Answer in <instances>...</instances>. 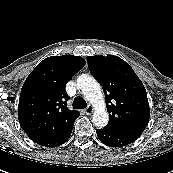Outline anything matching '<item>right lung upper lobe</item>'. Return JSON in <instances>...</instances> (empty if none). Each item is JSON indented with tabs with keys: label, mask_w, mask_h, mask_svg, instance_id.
<instances>
[{
	"label": "right lung upper lobe",
	"mask_w": 173,
	"mask_h": 173,
	"mask_svg": "<svg viewBox=\"0 0 173 173\" xmlns=\"http://www.w3.org/2000/svg\"><path fill=\"white\" fill-rule=\"evenodd\" d=\"M86 64L80 56H52L40 62L25 80L18 104L22 129L35 143L58 135L80 115L67 108L65 85Z\"/></svg>",
	"instance_id": "cb5924a9"
}]
</instances>
